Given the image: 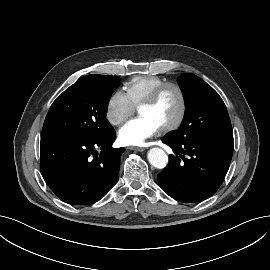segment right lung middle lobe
Returning a JSON list of instances; mask_svg holds the SVG:
<instances>
[{"mask_svg":"<svg viewBox=\"0 0 270 270\" xmlns=\"http://www.w3.org/2000/svg\"><path fill=\"white\" fill-rule=\"evenodd\" d=\"M119 77L87 75L60 94L46 116L42 134L99 139L113 130L106 119L107 105Z\"/></svg>","mask_w":270,"mask_h":270,"instance_id":"dd1d6c3e","label":"right lung middle lobe"}]
</instances>
